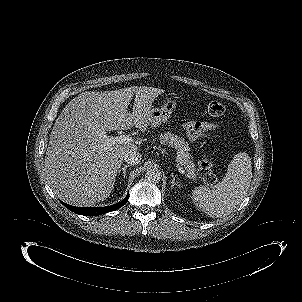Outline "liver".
<instances>
[{"instance_id":"1","label":"liver","mask_w":302,"mask_h":302,"mask_svg":"<svg viewBox=\"0 0 302 302\" xmlns=\"http://www.w3.org/2000/svg\"><path fill=\"white\" fill-rule=\"evenodd\" d=\"M145 92L136 87L89 91L65 106L50 133L44 162L48 182L59 198L75 206H92L110 196L124 153L138 147L129 142L106 149V133L133 126L148 130L150 103L163 90ZM134 95L133 112L128 113Z\"/></svg>"}]
</instances>
